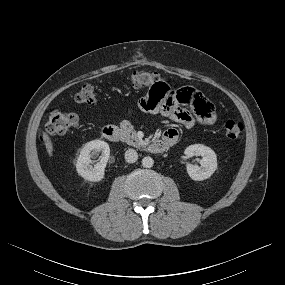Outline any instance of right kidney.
<instances>
[{
    "label": "right kidney",
    "mask_w": 285,
    "mask_h": 285,
    "mask_svg": "<svg viewBox=\"0 0 285 285\" xmlns=\"http://www.w3.org/2000/svg\"><path fill=\"white\" fill-rule=\"evenodd\" d=\"M100 159L93 166V160L99 156ZM110 155L108 143L102 140H93L86 143L80 151L76 162V170L78 174L85 180L91 182H99L103 180L105 175V167Z\"/></svg>",
    "instance_id": "obj_1"
}]
</instances>
